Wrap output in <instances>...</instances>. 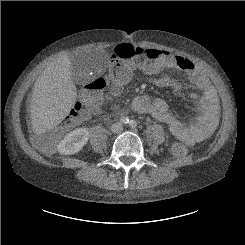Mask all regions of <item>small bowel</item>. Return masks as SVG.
Masks as SVG:
<instances>
[{
	"label": "small bowel",
	"mask_w": 245,
	"mask_h": 245,
	"mask_svg": "<svg viewBox=\"0 0 245 245\" xmlns=\"http://www.w3.org/2000/svg\"><path fill=\"white\" fill-rule=\"evenodd\" d=\"M145 54L154 65L150 69L147 65L137 68L148 74L157 75L153 83L162 88L179 89V83L172 79L167 71L178 68L186 73L190 82L195 85L201 94L197 96L196 119L192 125H186L175 113H173L168 103L157 98L151 100L149 96L143 95L135 99L132 103L134 111L143 114H150L157 120L168 126L170 131L179 139L188 144H195L208 139L216 129L219 120V103L215 87L210 83L207 76L200 71L190 59L155 48L146 49ZM121 86L112 90L113 95L120 92ZM104 95H101V102Z\"/></svg>",
	"instance_id": "small-bowel-1"
}]
</instances>
